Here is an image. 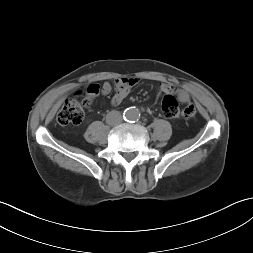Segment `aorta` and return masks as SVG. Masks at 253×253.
Listing matches in <instances>:
<instances>
[{
    "instance_id": "aorta-1",
    "label": "aorta",
    "mask_w": 253,
    "mask_h": 253,
    "mask_svg": "<svg viewBox=\"0 0 253 253\" xmlns=\"http://www.w3.org/2000/svg\"><path fill=\"white\" fill-rule=\"evenodd\" d=\"M124 117L128 121H135L140 118V111L137 108L130 107L124 111Z\"/></svg>"
}]
</instances>
